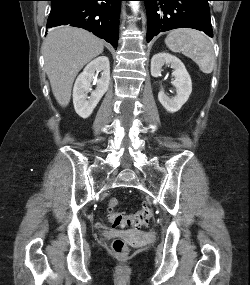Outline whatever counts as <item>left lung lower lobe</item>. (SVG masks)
Listing matches in <instances>:
<instances>
[{
    "label": "left lung lower lobe",
    "instance_id": "1",
    "mask_svg": "<svg viewBox=\"0 0 250 285\" xmlns=\"http://www.w3.org/2000/svg\"><path fill=\"white\" fill-rule=\"evenodd\" d=\"M147 11V42L160 32L193 28L213 37L210 0H141Z\"/></svg>",
    "mask_w": 250,
    "mask_h": 285
}]
</instances>
